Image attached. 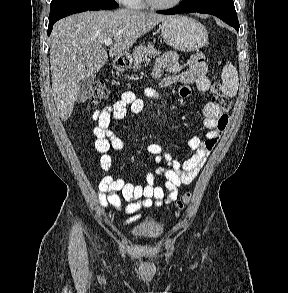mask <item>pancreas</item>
<instances>
[{
  "mask_svg": "<svg viewBox=\"0 0 288 293\" xmlns=\"http://www.w3.org/2000/svg\"><path fill=\"white\" fill-rule=\"evenodd\" d=\"M160 55V52L157 51L152 43H148L147 46L140 45L138 47H135L133 50V69H140L141 64L146 61L149 62L151 58L156 57Z\"/></svg>",
  "mask_w": 288,
  "mask_h": 293,
  "instance_id": "obj_1",
  "label": "pancreas"
}]
</instances>
